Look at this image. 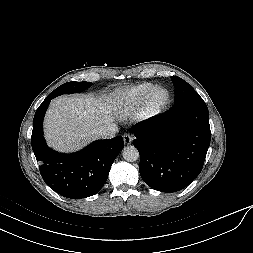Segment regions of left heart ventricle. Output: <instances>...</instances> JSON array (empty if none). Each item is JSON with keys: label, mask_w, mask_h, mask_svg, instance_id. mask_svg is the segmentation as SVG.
<instances>
[{"label": "left heart ventricle", "mask_w": 253, "mask_h": 253, "mask_svg": "<svg viewBox=\"0 0 253 253\" xmlns=\"http://www.w3.org/2000/svg\"><path fill=\"white\" fill-rule=\"evenodd\" d=\"M162 96H163V94H162V93H160V94L158 95V97H159V98H161Z\"/></svg>", "instance_id": "obj_1"}]
</instances>
